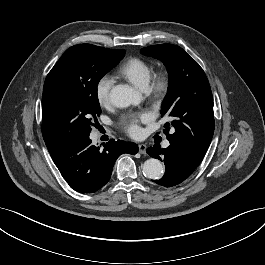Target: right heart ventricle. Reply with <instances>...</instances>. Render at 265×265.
I'll use <instances>...</instances> for the list:
<instances>
[{"label": "right heart ventricle", "instance_id": "obj_1", "mask_svg": "<svg viewBox=\"0 0 265 265\" xmlns=\"http://www.w3.org/2000/svg\"><path fill=\"white\" fill-rule=\"evenodd\" d=\"M118 75L127 79L137 88L145 90L152 78L153 67L141 58L132 57L121 65Z\"/></svg>", "mask_w": 265, "mask_h": 265}]
</instances>
